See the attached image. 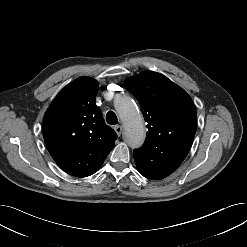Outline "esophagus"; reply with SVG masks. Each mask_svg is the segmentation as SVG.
Listing matches in <instances>:
<instances>
[{
    "label": "esophagus",
    "mask_w": 247,
    "mask_h": 247,
    "mask_svg": "<svg viewBox=\"0 0 247 247\" xmlns=\"http://www.w3.org/2000/svg\"><path fill=\"white\" fill-rule=\"evenodd\" d=\"M114 130H115V132L117 133V135L120 136L123 129H122V126H121V125H116V126L114 127Z\"/></svg>",
    "instance_id": "34e87169"
}]
</instances>
